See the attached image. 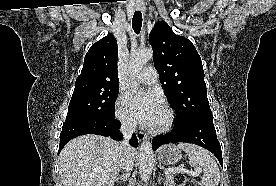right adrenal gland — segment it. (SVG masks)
<instances>
[{"mask_svg":"<svg viewBox=\"0 0 276 186\" xmlns=\"http://www.w3.org/2000/svg\"><path fill=\"white\" fill-rule=\"evenodd\" d=\"M128 178H129V174H128V173H123V175L117 177V178L115 179V181H117V182H118V181H123V183H124L125 181L128 180Z\"/></svg>","mask_w":276,"mask_h":186,"instance_id":"right-adrenal-gland-1","label":"right adrenal gland"}]
</instances>
